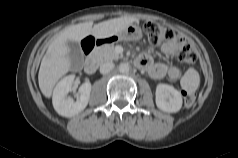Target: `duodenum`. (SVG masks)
Masks as SVG:
<instances>
[{
	"label": "duodenum",
	"mask_w": 238,
	"mask_h": 158,
	"mask_svg": "<svg viewBox=\"0 0 238 158\" xmlns=\"http://www.w3.org/2000/svg\"><path fill=\"white\" fill-rule=\"evenodd\" d=\"M106 43H108L107 40H92L91 42L84 44V49L90 52L95 48H98L99 46L105 45ZM84 69L88 74H93L96 71L97 64L91 56L87 57V59L85 60Z\"/></svg>",
	"instance_id": "duodenum-1"
}]
</instances>
